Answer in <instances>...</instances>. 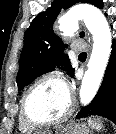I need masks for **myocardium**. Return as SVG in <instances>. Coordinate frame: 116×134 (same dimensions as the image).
Listing matches in <instances>:
<instances>
[{"label":"myocardium","mask_w":116,"mask_h":134,"mask_svg":"<svg viewBox=\"0 0 116 134\" xmlns=\"http://www.w3.org/2000/svg\"><path fill=\"white\" fill-rule=\"evenodd\" d=\"M46 81H55V82L61 83L62 85L65 86V88L67 89L68 94H69L68 108L61 116H59L57 118L48 119V120H36L33 117H31L27 111V108H26L27 99H28L30 92L35 87H37L38 85H40L41 83L46 82ZM74 106H75V96H74L73 91L70 89V87L66 83V81L59 75L47 74V75H44V76L38 78L26 89V91L24 92V94L21 98V101H20V114L23 117V119L25 120V122H27L29 125L36 127V128H43V127L57 125V124H60L64 121H66L72 114V112L74 110Z\"/></svg>","instance_id":"1"}]
</instances>
